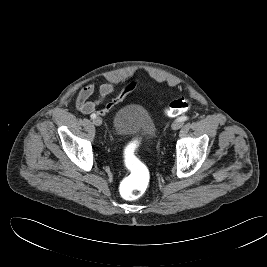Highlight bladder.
<instances>
[{"instance_id":"obj_1","label":"bladder","mask_w":267,"mask_h":267,"mask_svg":"<svg viewBox=\"0 0 267 267\" xmlns=\"http://www.w3.org/2000/svg\"><path fill=\"white\" fill-rule=\"evenodd\" d=\"M113 129L119 136L137 132L145 144L156 135L157 126L149 111L141 104L130 103L117 110L113 119Z\"/></svg>"}]
</instances>
